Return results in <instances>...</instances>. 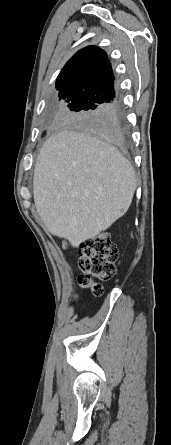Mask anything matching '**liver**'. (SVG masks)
<instances>
[{"instance_id": "1", "label": "liver", "mask_w": 171, "mask_h": 445, "mask_svg": "<svg viewBox=\"0 0 171 445\" xmlns=\"http://www.w3.org/2000/svg\"><path fill=\"white\" fill-rule=\"evenodd\" d=\"M136 187L133 166L114 146L72 130L47 139L33 179L42 221L72 247L94 239L122 217Z\"/></svg>"}]
</instances>
